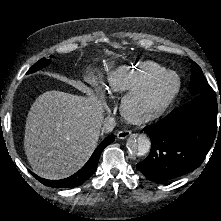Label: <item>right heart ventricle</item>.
Returning <instances> with one entry per match:
<instances>
[{
	"label": "right heart ventricle",
	"mask_w": 221,
	"mask_h": 221,
	"mask_svg": "<svg viewBox=\"0 0 221 221\" xmlns=\"http://www.w3.org/2000/svg\"><path fill=\"white\" fill-rule=\"evenodd\" d=\"M167 70L161 65L151 62H138L132 66H120L108 73V91L126 93L146 86L157 76Z\"/></svg>",
	"instance_id": "1"
}]
</instances>
